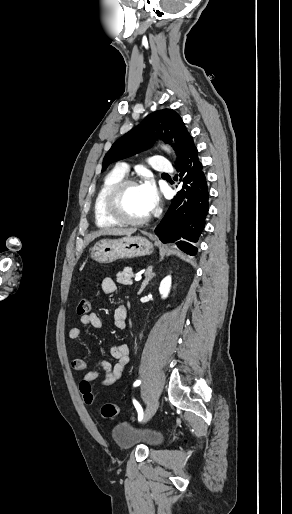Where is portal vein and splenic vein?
I'll return each instance as SVG.
<instances>
[{"mask_svg": "<svg viewBox=\"0 0 292 514\" xmlns=\"http://www.w3.org/2000/svg\"><path fill=\"white\" fill-rule=\"evenodd\" d=\"M141 278H142L141 274H140V276H136V278H135L136 282H139V280H141Z\"/></svg>", "mask_w": 292, "mask_h": 514, "instance_id": "1", "label": "portal vein and splenic vein"}]
</instances>
